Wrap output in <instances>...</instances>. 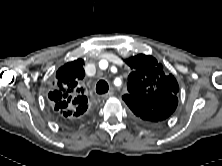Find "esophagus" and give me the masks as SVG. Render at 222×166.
Masks as SVG:
<instances>
[{
    "mask_svg": "<svg viewBox=\"0 0 222 166\" xmlns=\"http://www.w3.org/2000/svg\"><path fill=\"white\" fill-rule=\"evenodd\" d=\"M113 94H114V91L110 90L108 93L102 95V98L107 99V98L111 97Z\"/></svg>",
    "mask_w": 222,
    "mask_h": 166,
    "instance_id": "1",
    "label": "esophagus"
}]
</instances>
